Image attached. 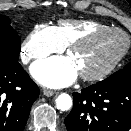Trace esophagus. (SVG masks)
Here are the masks:
<instances>
[{
    "label": "esophagus",
    "mask_w": 131,
    "mask_h": 131,
    "mask_svg": "<svg viewBox=\"0 0 131 131\" xmlns=\"http://www.w3.org/2000/svg\"><path fill=\"white\" fill-rule=\"evenodd\" d=\"M43 94L47 97H51L55 94V92L53 90H49V89H44L43 90Z\"/></svg>",
    "instance_id": "1"
}]
</instances>
